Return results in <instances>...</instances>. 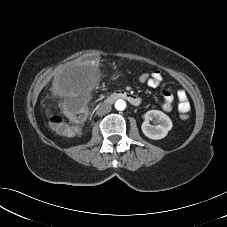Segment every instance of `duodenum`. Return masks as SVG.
Wrapping results in <instances>:
<instances>
[{
    "label": "duodenum",
    "mask_w": 227,
    "mask_h": 227,
    "mask_svg": "<svg viewBox=\"0 0 227 227\" xmlns=\"http://www.w3.org/2000/svg\"><path fill=\"white\" fill-rule=\"evenodd\" d=\"M118 99H123L132 104L133 106H139L141 104V99L136 94L124 91V90H118L113 93H111L106 99L105 103L110 104Z\"/></svg>",
    "instance_id": "410a0bca"
}]
</instances>
